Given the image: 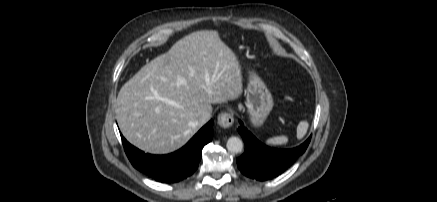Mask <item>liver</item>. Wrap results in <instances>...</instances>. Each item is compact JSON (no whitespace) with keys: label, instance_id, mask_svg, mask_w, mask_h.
I'll use <instances>...</instances> for the list:
<instances>
[{"label":"liver","instance_id":"1","mask_svg":"<svg viewBox=\"0 0 437 202\" xmlns=\"http://www.w3.org/2000/svg\"><path fill=\"white\" fill-rule=\"evenodd\" d=\"M178 77L185 84L177 85ZM241 66L215 31H197L144 65L120 89L115 113L124 137L152 154L185 145L211 104L242 93Z\"/></svg>","mask_w":437,"mask_h":202}]
</instances>
